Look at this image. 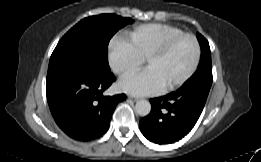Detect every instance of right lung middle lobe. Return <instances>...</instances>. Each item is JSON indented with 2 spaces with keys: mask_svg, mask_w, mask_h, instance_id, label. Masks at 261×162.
Segmentation results:
<instances>
[{
  "mask_svg": "<svg viewBox=\"0 0 261 162\" xmlns=\"http://www.w3.org/2000/svg\"><path fill=\"white\" fill-rule=\"evenodd\" d=\"M131 18L114 14L87 17L72 27L53 51L48 73L68 65H86L101 72H110L108 43Z\"/></svg>",
  "mask_w": 261,
  "mask_h": 162,
  "instance_id": "obj_1",
  "label": "right lung middle lobe"
}]
</instances>
